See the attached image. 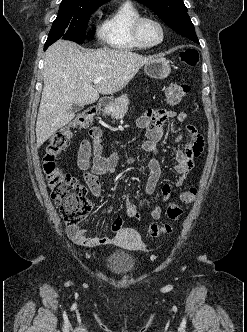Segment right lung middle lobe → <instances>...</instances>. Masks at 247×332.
<instances>
[{
  "label": "right lung middle lobe",
  "mask_w": 247,
  "mask_h": 332,
  "mask_svg": "<svg viewBox=\"0 0 247 332\" xmlns=\"http://www.w3.org/2000/svg\"><path fill=\"white\" fill-rule=\"evenodd\" d=\"M101 5L62 0L58 16L52 24L47 41L54 43L58 39H66L82 44L89 18Z\"/></svg>",
  "instance_id": "right-lung-middle-lobe-1"
}]
</instances>
